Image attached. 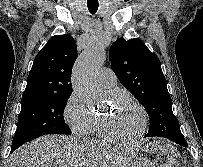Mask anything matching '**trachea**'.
<instances>
[{
  "mask_svg": "<svg viewBox=\"0 0 203 167\" xmlns=\"http://www.w3.org/2000/svg\"><path fill=\"white\" fill-rule=\"evenodd\" d=\"M87 7L90 13L95 14L98 10V3H88Z\"/></svg>",
  "mask_w": 203,
  "mask_h": 167,
  "instance_id": "1",
  "label": "trachea"
}]
</instances>
